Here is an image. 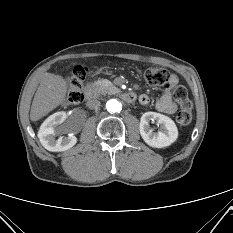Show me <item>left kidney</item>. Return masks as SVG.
Instances as JSON below:
<instances>
[{"label": "left kidney", "instance_id": "left-kidney-1", "mask_svg": "<svg viewBox=\"0 0 233 233\" xmlns=\"http://www.w3.org/2000/svg\"><path fill=\"white\" fill-rule=\"evenodd\" d=\"M156 122L160 130L155 132L149 122ZM140 134L145 143L154 148H163L171 145L178 137V129L174 121L160 113L146 112L140 119Z\"/></svg>", "mask_w": 233, "mask_h": 233}]
</instances>
